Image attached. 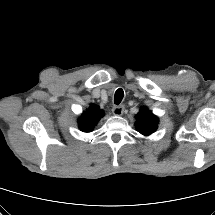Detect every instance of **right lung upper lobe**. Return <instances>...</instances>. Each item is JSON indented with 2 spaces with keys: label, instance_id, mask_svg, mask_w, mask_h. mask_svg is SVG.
<instances>
[{
  "label": "right lung upper lobe",
  "instance_id": "cb5924a9",
  "mask_svg": "<svg viewBox=\"0 0 215 215\" xmlns=\"http://www.w3.org/2000/svg\"><path fill=\"white\" fill-rule=\"evenodd\" d=\"M104 112L97 106L92 104L86 112L82 114L79 121V128L84 132H91L93 127L102 118Z\"/></svg>",
  "mask_w": 215,
  "mask_h": 215
}]
</instances>
